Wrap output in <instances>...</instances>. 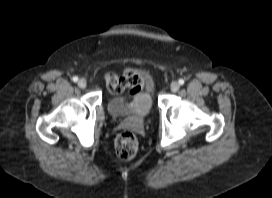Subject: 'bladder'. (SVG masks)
I'll return each mask as SVG.
<instances>
[{
    "label": "bladder",
    "mask_w": 272,
    "mask_h": 198,
    "mask_svg": "<svg viewBox=\"0 0 272 198\" xmlns=\"http://www.w3.org/2000/svg\"><path fill=\"white\" fill-rule=\"evenodd\" d=\"M107 109L114 118L146 117L152 109V93L148 89L133 100L127 101L121 96H112L107 100Z\"/></svg>",
    "instance_id": "obj_1"
}]
</instances>
